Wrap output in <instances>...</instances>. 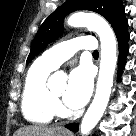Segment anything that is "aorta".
Returning <instances> with one entry per match:
<instances>
[{"instance_id": "aorta-1", "label": "aorta", "mask_w": 136, "mask_h": 136, "mask_svg": "<svg viewBox=\"0 0 136 136\" xmlns=\"http://www.w3.org/2000/svg\"><path fill=\"white\" fill-rule=\"evenodd\" d=\"M67 23L72 27H87L94 31L99 36L101 43V61L96 93L80 126L81 134L87 135L101 119L110 98L117 63V41L111 26L97 14L76 12L69 17ZM58 80L65 85L66 78L63 74L55 73L50 78L51 82Z\"/></svg>"}]
</instances>
